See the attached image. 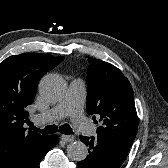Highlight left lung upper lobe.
<instances>
[{
	"mask_svg": "<svg viewBox=\"0 0 168 168\" xmlns=\"http://www.w3.org/2000/svg\"><path fill=\"white\" fill-rule=\"evenodd\" d=\"M88 62L86 109L89 115L100 116L97 135L130 149L138 129L131 84L110 63L95 58Z\"/></svg>",
	"mask_w": 168,
	"mask_h": 168,
	"instance_id": "1",
	"label": "left lung upper lobe"
}]
</instances>
